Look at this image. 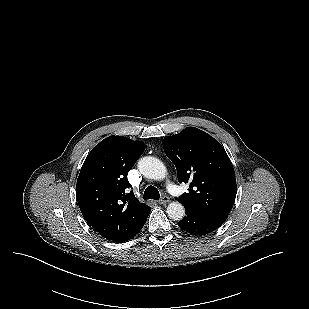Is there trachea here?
Instances as JSON below:
<instances>
[{"instance_id": "1", "label": "trachea", "mask_w": 309, "mask_h": 309, "mask_svg": "<svg viewBox=\"0 0 309 309\" xmlns=\"http://www.w3.org/2000/svg\"><path fill=\"white\" fill-rule=\"evenodd\" d=\"M160 198L159 191L154 186H148L144 191L143 199H154L158 200Z\"/></svg>"}]
</instances>
